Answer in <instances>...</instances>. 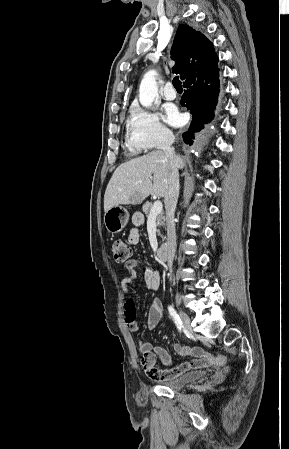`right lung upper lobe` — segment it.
Segmentation results:
<instances>
[{
  "label": "right lung upper lobe",
  "instance_id": "right-lung-upper-lobe-1",
  "mask_svg": "<svg viewBox=\"0 0 289 449\" xmlns=\"http://www.w3.org/2000/svg\"><path fill=\"white\" fill-rule=\"evenodd\" d=\"M171 58L176 61L172 70L180 74L183 84L205 76L218 62L213 44L201 32L185 24L179 25Z\"/></svg>",
  "mask_w": 289,
  "mask_h": 449
}]
</instances>
